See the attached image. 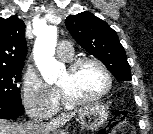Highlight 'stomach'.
<instances>
[{
  "label": "stomach",
  "instance_id": "stomach-1",
  "mask_svg": "<svg viewBox=\"0 0 153 134\" xmlns=\"http://www.w3.org/2000/svg\"><path fill=\"white\" fill-rule=\"evenodd\" d=\"M109 116L108 108L100 103L90 104L79 112V123L82 129L97 130L106 122Z\"/></svg>",
  "mask_w": 153,
  "mask_h": 134
}]
</instances>
